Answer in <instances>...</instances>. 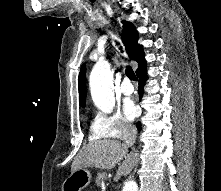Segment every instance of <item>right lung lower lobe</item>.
<instances>
[{
    "label": "right lung lower lobe",
    "mask_w": 221,
    "mask_h": 191,
    "mask_svg": "<svg viewBox=\"0 0 221 191\" xmlns=\"http://www.w3.org/2000/svg\"><path fill=\"white\" fill-rule=\"evenodd\" d=\"M138 78H139V88L144 86V83L146 81V77H147V72H146V65L140 69L139 71L136 72ZM139 93V97L141 98V96L143 95V90H138ZM137 128L138 130H141V124L140 122H137Z\"/></svg>",
    "instance_id": "obj_1"
}]
</instances>
